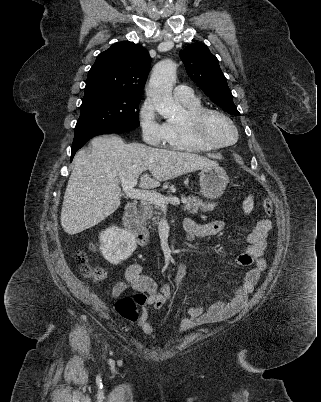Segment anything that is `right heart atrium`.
<instances>
[{
    "mask_svg": "<svg viewBox=\"0 0 321 402\" xmlns=\"http://www.w3.org/2000/svg\"><path fill=\"white\" fill-rule=\"evenodd\" d=\"M138 123L142 138L147 144L160 146L165 143V122L160 120L155 106L149 100L144 101L140 107Z\"/></svg>",
    "mask_w": 321,
    "mask_h": 402,
    "instance_id": "obj_1",
    "label": "right heart atrium"
}]
</instances>
